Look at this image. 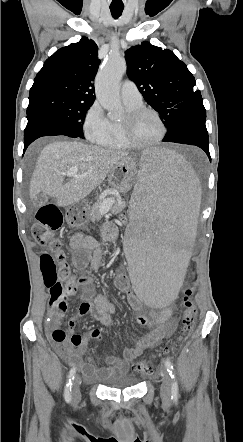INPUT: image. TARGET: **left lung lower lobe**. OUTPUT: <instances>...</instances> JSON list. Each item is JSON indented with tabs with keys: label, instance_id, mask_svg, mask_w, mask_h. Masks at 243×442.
<instances>
[{
	"label": "left lung lower lobe",
	"instance_id": "left-lung-lower-lobe-1",
	"mask_svg": "<svg viewBox=\"0 0 243 442\" xmlns=\"http://www.w3.org/2000/svg\"><path fill=\"white\" fill-rule=\"evenodd\" d=\"M205 121L206 113L193 115L182 122V124L171 135L165 137L163 141L196 145L206 152L211 161L208 148L209 138Z\"/></svg>",
	"mask_w": 243,
	"mask_h": 442
}]
</instances>
